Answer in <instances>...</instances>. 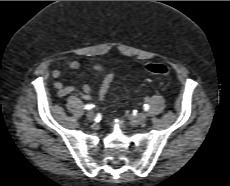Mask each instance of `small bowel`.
I'll list each match as a JSON object with an SVG mask.
<instances>
[{"instance_id":"small-bowel-1","label":"small bowel","mask_w":230,"mask_h":186,"mask_svg":"<svg viewBox=\"0 0 230 186\" xmlns=\"http://www.w3.org/2000/svg\"><path fill=\"white\" fill-rule=\"evenodd\" d=\"M82 67V63L80 61L74 60L69 62L68 68L70 70H78ZM93 69L100 75H103V67L100 64H94ZM62 72L60 69H54L52 71V77L54 79L60 78ZM112 79V75H107L104 77L102 84L99 88L98 95L99 97H103L106 92L108 91L110 81ZM55 89L57 90L58 96L59 97H64L72 93H76L80 95L83 99L90 100L93 97V91L91 86L89 85H84L82 86L81 89H77L73 86H65L62 82L57 81L54 84Z\"/></svg>"}]
</instances>
